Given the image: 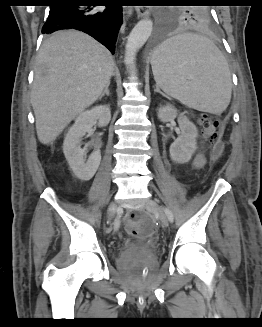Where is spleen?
Instances as JSON below:
<instances>
[{
	"instance_id": "obj_1",
	"label": "spleen",
	"mask_w": 262,
	"mask_h": 327,
	"mask_svg": "<svg viewBox=\"0 0 262 327\" xmlns=\"http://www.w3.org/2000/svg\"><path fill=\"white\" fill-rule=\"evenodd\" d=\"M151 65L157 85L187 107L213 114L228 107L229 66L207 37L193 33L170 37L154 51Z\"/></svg>"
}]
</instances>
